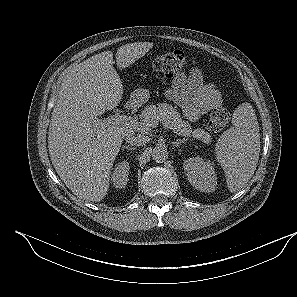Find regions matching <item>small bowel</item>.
<instances>
[{"mask_svg":"<svg viewBox=\"0 0 297 297\" xmlns=\"http://www.w3.org/2000/svg\"><path fill=\"white\" fill-rule=\"evenodd\" d=\"M165 96L180 107L185 118L191 122L222 104L220 90L214 84L205 83L199 69L174 77Z\"/></svg>","mask_w":297,"mask_h":297,"instance_id":"obj_1","label":"small bowel"}]
</instances>
